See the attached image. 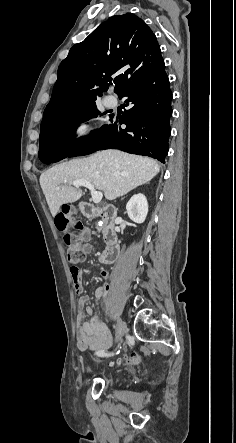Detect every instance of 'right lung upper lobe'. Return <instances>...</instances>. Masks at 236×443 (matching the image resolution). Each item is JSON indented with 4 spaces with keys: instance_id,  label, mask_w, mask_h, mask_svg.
Listing matches in <instances>:
<instances>
[{
    "instance_id": "obj_1",
    "label": "right lung upper lobe",
    "mask_w": 236,
    "mask_h": 443,
    "mask_svg": "<svg viewBox=\"0 0 236 443\" xmlns=\"http://www.w3.org/2000/svg\"><path fill=\"white\" fill-rule=\"evenodd\" d=\"M161 58L156 36L142 19L131 13L109 18L61 62L43 120L95 101L113 83L121 94Z\"/></svg>"
}]
</instances>
